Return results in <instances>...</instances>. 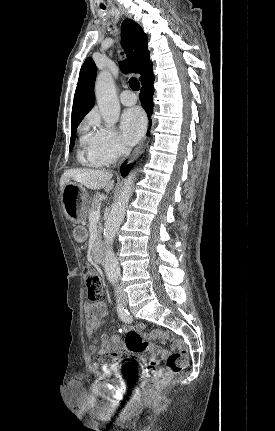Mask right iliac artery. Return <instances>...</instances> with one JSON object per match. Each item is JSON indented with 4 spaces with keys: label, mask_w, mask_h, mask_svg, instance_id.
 <instances>
[{
    "label": "right iliac artery",
    "mask_w": 275,
    "mask_h": 431,
    "mask_svg": "<svg viewBox=\"0 0 275 431\" xmlns=\"http://www.w3.org/2000/svg\"><path fill=\"white\" fill-rule=\"evenodd\" d=\"M117 312L120 317V319L125 323H131L132 322V316L130 313L122 306L119 300H117Z\"/></svg>",
    "instance_id": "right-iliac-artery-1"
}]
</instances>
